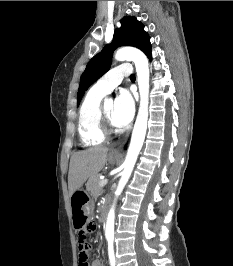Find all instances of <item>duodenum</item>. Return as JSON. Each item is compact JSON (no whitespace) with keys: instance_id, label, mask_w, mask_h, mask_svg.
<instances>
[{"instance_id":"1","label":"duodenum","mask_w":233,"mask_h":266,"mask_svg":"<svg viewBox=\"0 0 233 266\" xmlns=\"http://www.w3.org/2000/svg\"><path fill=\"white\" fill-rule=\"evenodd\" d=\"M107 215V205L104 204L101 208L100 217L103 220Z\"/></svg>"}]
</instances>
